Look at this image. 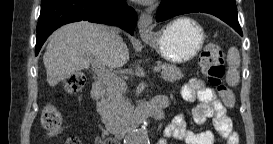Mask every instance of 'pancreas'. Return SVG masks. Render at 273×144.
Masks as SVG:
<instances>
[{
  "label": "pancreas",
  "mask_w": 273,
  "mask_h": 144,
  "mask_svg": "<svg viewBox=\"0 0 273 144\" xmlns=\"http://www.w3.org/2000/svg\"><path fill=\"white\" fill-rule=\"evenodd\" d=\"M161 77L166 81H176L183 77L182 71L175 65L169 63H158ZM126 89L107 86L106 98L102 103L100 111L102 122L107 129H113L126 121L132 112V105L125 98Z\"/></svg>",
  "instance_id": "cf45deb5"
}]
</instances>
